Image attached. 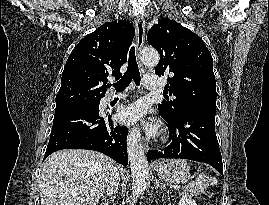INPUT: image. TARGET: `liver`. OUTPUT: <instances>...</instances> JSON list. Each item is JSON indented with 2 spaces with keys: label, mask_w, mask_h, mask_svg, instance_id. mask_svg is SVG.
Listing matches in <instances>:
<instances>
[{
  "label": "liver",
  "mask_w": 269,
  "mask_h": 205,
  "mask_svg": "<svg viewBox=\"0 0 269 205\" xmlns=\"http://www.w3.org/2000/svg\"><path fill=\"white\" fill-rule=\"evenodd\" d=\"M112 163L92 150L65 149L51 154L41 172V205H96Z\"/></svg>",
  "instance_id": "obj_1"
}]
</instances>
